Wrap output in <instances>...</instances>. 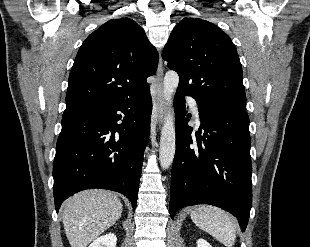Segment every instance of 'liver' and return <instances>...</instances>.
<instances>
[{"mask_svg": "<svg viewBox=\"0 0 310 247\" xmlns=\"http://www.w3.org/2000/svg\"><path fill=\"white\" fill-rule=\"evenodd\" d=\"M123 205L116 194L85 190L63 205V225L71 247H87L120 218Z\"/></svg>", "mask_w": 310, "mask_h": 247, "instance_id": "obj_1", "label": "liver"}]
</instances>
